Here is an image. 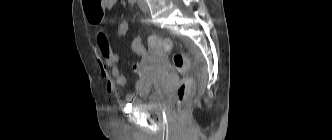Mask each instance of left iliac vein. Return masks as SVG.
<instances>
[{
	"instance_id": "obj_1",
	"label": "left iliac vein",
	"mask_w": 332,
	"mask_h": 140,
	"mask_svg": "<svg viewBox=\"0 0 332 140\" xmlns=\"http://www.w3.org/2000/svg\"><path fill=\"white\" fill-rule=\"evenodd\" d=\"M138 5L143 12H148V5L145 0H138Z\"/></svg>"
}]
</instances>
